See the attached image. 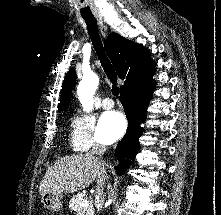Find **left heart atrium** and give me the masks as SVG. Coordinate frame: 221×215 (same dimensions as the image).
<instances>
[{"label":"left heart atrium","mask_w":221,"mask_h":215,"mask_svg":"<svg viewBox=\"0 0 221 215\" xmlns=\"http://www.w3.org/2000/svg\"><path fill=\"white\" fill-rule=\"evenodd\" d=\"M127 127L124 115L118 111L105 112L99 121V133L106 142H113L120 138Z\"/></svg>","instance_id":"obj_1"}]
</instances>
